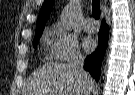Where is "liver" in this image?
Listing matches in <instances>:
<instances>
[{"mask_svg": "<svg viewBox=\"0 0 135 95\" xmlns=\"http://www.w3.org/2000/svg\"><path fill=\"white\" fill-rule=\"evenodd\" d=\"M89 85L92 90L94 80L90 76ZM85 91L81 77L73 72L69 64L55 63L44 65L32 74L25 95H84Z\"/></svg>", "mask_w": 135, "mask_h": 95, "instance_id": "6515ba94", "label": "liver"}]
</instances>
